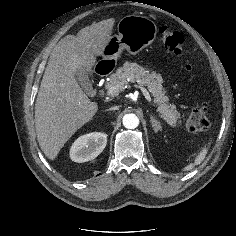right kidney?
Masks as SVG:
<instances>
[{"mask_svg":"<svg viewBox=\"0 0 236 236\" xmlns=\"http://www.w3.org/2000/svg\"><path fill=\"white\" fill-rule=\"evenodd\" d=\"M107 144V135L100 132L80 136L70 149V158L77 163L96 158Z\"/></svg>","mask_w":236,"mask_h":236,"instance_id":"obj_1","label":"right kidney"}]
</instances>
